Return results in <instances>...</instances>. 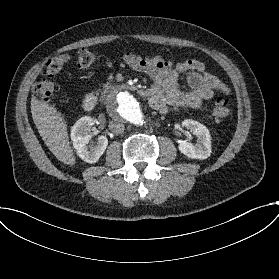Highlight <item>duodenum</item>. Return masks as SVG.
<instances>
[{
  "instance_id": "1",
  "label": "duodenum",
  "mask_w": 279,
  "mask_h": 279,
  "mask_svg": "<svg viewBox=\"0 0 279 279\" xmlns=\"http://www.w3.org/2000/svg\"><path fill=\"white\" fill-rule=\"evenodd\" d=\"M126 89L125 85H108L105 87V92H115L119 90ZM141 95H146V93L142 92ZM97 105V96L93 93H89L85 96L83 101V108L85 111H92L95 109Z\"/></svg>"
}]
</instances>
